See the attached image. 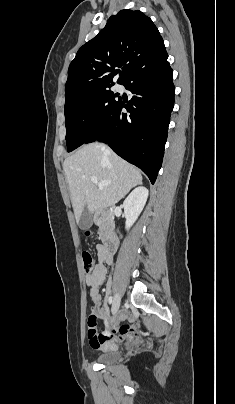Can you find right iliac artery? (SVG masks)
<instances>
[{
  "label": "right iliac artery",
  "mask_w": 235,
  "mask_h": 404,
  "mask_svg": "<svg viewBox=\"0 0 235 404\" xmlns=\"http://www.w3.org/2000/svg\"><path fill=\"white\" fill-rule=\"evenodd\" d=\"M112 301H113V297H112V296H110V297H109V299H108V303H109V304H111V303H112Z\"/></svg>",
  "instance_id": "right-iliac-artery-1"
}]
</instances>
